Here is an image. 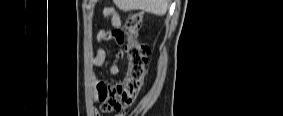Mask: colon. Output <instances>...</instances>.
<instances>
[{
    "instance_id": "5ec220e1",
    "label": "colon",
    "mask_w": 283,
    "mask_h": 116,
    "mask_svg": "<svg viewBox=\"0 0 283 116\" xmlns=\"http://www.w3.org/2000/svg\"><path fill=\"white\" fill-rule=\"evenodd\" d=\"M143 20L142 11L131 12L123 29L116 34L121 44L126 40L124 51L128 59V70L123 81L97 86L99 109L103 113L119 112L131 106L143 88L147 50L137 40Z\"/></svg>"
}]
</instances>
